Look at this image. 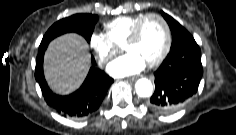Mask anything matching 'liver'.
<instances>
[{"label": "liver", "instance_id": "liver-1", "mask_svg": "<svg viewBox=\"0 0 236 135\" xmlns=\"http://www.w3.org/2000/svg\"><path fill=\"white\" fill-rule=\"evenodd\" d=\"M89 68L88 44L82 36L69 33L49 44L44 58V74L54 92L66 95L77 89Z\"/></svg>", "mask_w": 236, "mask_h": 135}]
</instances>
